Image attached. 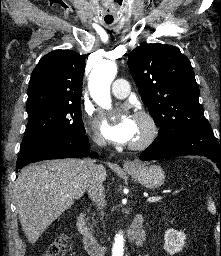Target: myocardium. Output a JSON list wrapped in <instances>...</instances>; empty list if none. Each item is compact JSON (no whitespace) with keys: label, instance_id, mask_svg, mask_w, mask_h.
Returning <instances> with one entry per match:
<instances>
[{"label":"myocardium","instance_id":"f54148a6","mask_svg":"<svg viewBox=\"0 0 221 256\" xmlns=\"http://www.w3.org/2000/svg\"><path fill=\"white\" fill-rule=\"evenodd\" d=\"M136 118L143 121L145 133L141 138L133 141L130 147L135 150H142L149 147L159 135V125L155 117L148 111L141 110L136 113Z\"/></svg>","mask_w":221,"mask_h":256}]
</instances>
